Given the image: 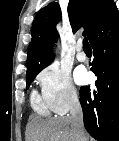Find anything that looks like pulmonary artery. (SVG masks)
Wrapping results in <instances>:
<instances>
[{
  "label": "pulmonary artery",
  "mask_w": 119,
  "mask_h": 141,
  "mask_svg": "<svg viewBox=\"0 0 119 141\" xmlns=\"http://www.w3.org/2000/svg\"><path fill=\"white\" fill-rule=\"evenodd\" d=\"M76 57L81 62H84L87 59V55L83 51V45H82L81 42H78L77 45H76Z\"/></svg>",
  "instance_id": "1"
}]
</instances>
